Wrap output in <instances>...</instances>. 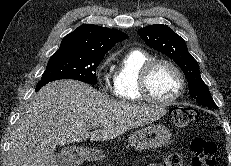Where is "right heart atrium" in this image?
Returning <instances> with one entry per match:
<instances>
[{"instance_id": "obj_1", "label": "right heart atrium", "mask_w": 231, "mask_h": 166, "mask_svg": "<svg viewBox=\"0 0 231 166\" xmlns=\"http://www.w3.org/2000/svg\"><path fill=\"white\" fill-rule=\"evenodd\" d=\"M108 60H105V62L103 63V68L107 65Z\"/></svg>"}]
</instances>
